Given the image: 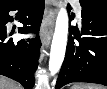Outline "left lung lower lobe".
Returning <instances> with one entry per match:
<instances>
[{
	"instance_id": "left-lung-lower-lobe-1",
	"label": "left lung lower lobe",
	"mask_w": 107,
	"mask_h": 89,
	"mask_svg": "<svg viewBox=\"0 0 107 89\" xmlns=\"http://www.w3.org/2000/svg\"><path fill=\"white\" fill-rule=\"evenodd\" d=\"M82 32L72 28L56 89L71 82L107 86V12L82 7Z\"/></svg>"
}]
</instances>
